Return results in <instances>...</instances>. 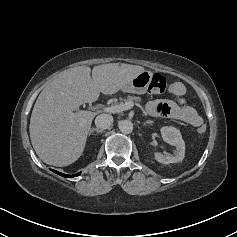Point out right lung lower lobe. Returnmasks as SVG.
<instances>
[{
	"label": "right lung lower lobe",
	"instance_id": "98d812e1",
	"mask_svg": "<svg viewBox=\"0 0 237 237\" xmlns=\"http://www.w3.org/2000/svg\"><path fill=\"white\" fill-rule=\"evenodd\" d=\"M52 171L55 172V173H57V174H59V175H61V176H63V177H67V178H71V177H75V176L80 175V172L77 173V174H75V175H66V174L60 173V172L55 171V170H52Z\"/></svg>",
	"mask_w": 237,
	"mask_h": 237
}]
</instances>
